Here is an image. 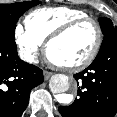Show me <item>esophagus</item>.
<instances>
[{
    "mask_svg": "<svg viewBox=\"0 0 117 117\" xmlns=\"http://www.w3.org/2000/svg\"><path fill=\"white\" fill-rule=\"evenodd\" d=\"M43 75H44V79L45 80H48L50 78V76L52 75V72L44 71L43 72Z\"/></svg>",
    "mask_w": 117,
    "mask_h": 117,
    "instance_id": "obj_1",
    "label": "esophagus"
}]
</instances>
